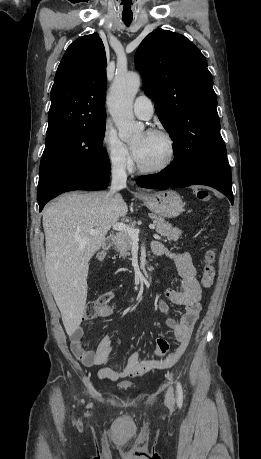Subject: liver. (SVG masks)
Listing matches in <instances>:
<instances>
[{
	"label": "liver",
	"instance_id": "1",
	"mask_svg": "<svg viewBox=\"0 0 261 459\" xmlns=\"http://www.w3.org/2000/svg\"><path fill=\"white\" fill-rule=\"evenodd\" d=\"M127 211L121 196L111 200L108 192L101 191L65 194L43 212L46 278L69 336L84 315L89 261ZM92 229L96 234L89 233ZM78 238H87V243L81 246Z\"/></svg>",
	"mask_w": 261,
	"mask_h": 459
}]
</instances>
